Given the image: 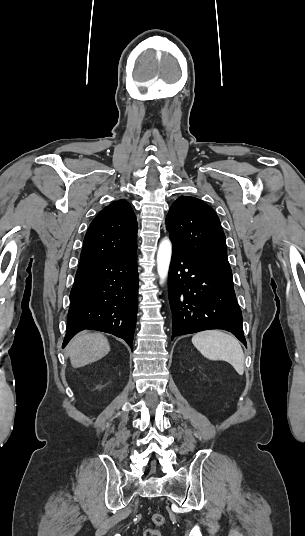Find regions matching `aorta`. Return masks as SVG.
<instances>
[{
	"mask_svg": "<svg viewBox=\"0 0 305 536\" xmlns=\"http://www.w3.org/2000/svg\"><path fill=\"white\" fill-rule=\"evenodd\" d=\"M171 256L172 244L168 238H165L160 242L157 251V272L160 277V284H163L167 279Z\"/></svg>",
	"mask_w": 305,
	"mask_h": 536,
	"instance_id": "762f6f07",
	"label": "aorta"
}]
</instances>
